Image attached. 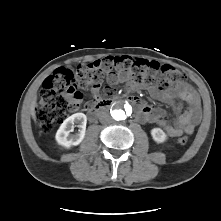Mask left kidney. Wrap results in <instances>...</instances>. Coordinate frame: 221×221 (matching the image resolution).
I'll return each instance as SVG.
<instances>
[{"label": "left kidney", "mask_w": 221, "mask_h": 221, "mask_svg": "<svg viewBox=\"0 0 221 221\" xmlns=\"http://www.w3.org/2000/svg\"><path fill=\"white\" fill-rule=\"evenodd\" d=\"M151 135L154 141H156L157 143H163L167 139V135L160 128H153L151 130Z\"/></svg>", "instance_id": "obj_1"}]
</instances>
